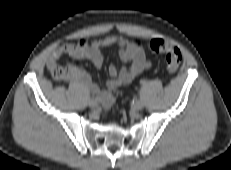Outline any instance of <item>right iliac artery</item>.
I'll list each match as a JSON object with an SVG mask.
<instances>
[{
    "label": "right iliac artery",
    "mask_w": 231,
    "mask_h": 170,
    "mask_svg": "<svg viewBox=\"0 0 231 170\" xmlns=\"http://www.w3.org/2000/svg\"><path fill=\"white\" fill-rule=\"evenodd\" d=\"M95 100L99 101V99H98V98H96Z\"/></svg>",
    "instance_id": "right-iliac-artery-1"
}]
</instances>
